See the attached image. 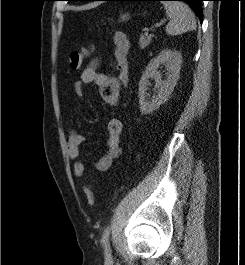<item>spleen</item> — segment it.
Listing matches in <instances>:
<instances>
[{
    "instance_id": "3e777b00",
    "label": "spleen",
    "mask_w": 245,
    "mask_h": 265,
    "mask_svg": "<svg viewBox=\"0 0 245 265\" xmlns=\"http://www.w3.org/2000/svg\"><path fill=\"white\" fill-rule=\"evenodd\" d=\"M162 3L166 9V15L170 18L166 26L167 34L179 35L196 28L195 15L188 5L178 1H164Z\"/></svg>"
}]
</instances>
